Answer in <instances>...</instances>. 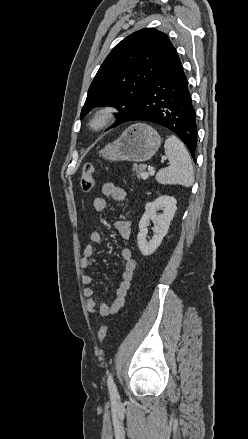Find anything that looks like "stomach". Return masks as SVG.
<instances>
[{
	"label": "stomach",
	"mask_w": 248,
	"mask_h": 439,
	"mask_svg": "<svg viewBox=\"0 0 248 439\" xmlns=\"http://www.w3.org/2000/svg\"><path fill=\"white\" fill-rule=\"evenodd\" d=\"M160 144L157 131L145 123H136L117 140L107 144L100 151V156L109 161L144 162L158 151Z\"/></svg>",
	"instance_id": "1"
}]
</instances>
